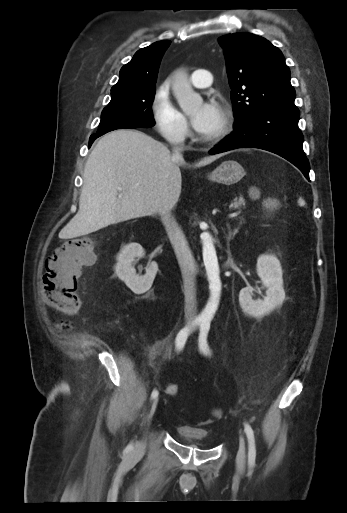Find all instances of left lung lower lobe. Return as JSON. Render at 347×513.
<instances>
[{"label":"left lung lower lobe","mask_w":347,"mask_h":513,"mask_svg":"<svg viewBox=\"0 0 347 513\" xmlns=\"http://www.w3.org/2000/svg\"><path fill=\"white\" fill-rule=\"evenodd\" d=\"M299 110L275 107L261 110L234 124V131L210 154L253 147L273 152L290 161L309 179V162L303 151V135L298 127Z\"/></svg>","instance_id":"1"}]
</instances>
